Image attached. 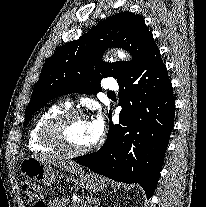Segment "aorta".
<instances>
[{
    "label": "aorta",
    "mask_w": 206,
    "mask_h": 207,
    "mask_svg": "<svg viewBox=\"0 0 206 207\" xmlns=\"http://www.w3.org/2000/svg\"><path fill=\"white\" fill-rule=\"evenodd\" d=\"M117 57L121 60L127 59L128 55L124 51H117Z\"/></svg>",
    "instance_id": "762f6f07"
}]
</instances>
